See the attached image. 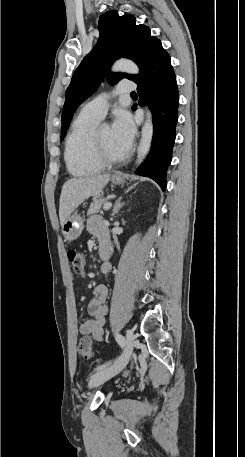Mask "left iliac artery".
<instances>
[{
    "label": "left iliac artery",
    "instance_id": "left-iliac-artery-1",
    "mask_svg": "<svg viewBox=\"0 0 245 457\" xmlns=\"http://www.w3.org/2000/svg\"><path fill=\"white\" fill-rule=\"evenodd\" d=\"M116 341L118 342V344H119L121 347H123L124 344H125V339H124V337H123L121 334H119V333L116 334ZM108 364H109V362H108L107 364H104V365H101V366L97 367L96 370H100V369L106 367Z\"/></svg>",
    "mask_w": 245,
    "mask_h": 457
}]
</instances>
